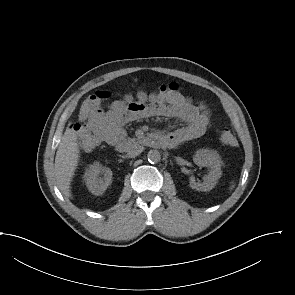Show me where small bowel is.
I'll return each mask as SVG.
<instances>
[{
	"mask_svg": "<svg viewBox=\"0 0 295 295\" xmlns=\"http://www.w3.org/2000/svg\"><path fill=\"white\" fill-rule=\"evenodd\" d=\"M152 116L174 118L184 123L182 128L163 136L170 147L202 136L211 122L210 113L203 103L193 104L187 98L157 92L139 93L137 97L126 95L123 100L113 102L109 110L98 109L88 119L86 128L101 132L99 142L115 144L123 139L125 124ZM79 137L83 148L93 147L88 146L84 136L79 134Z\"/></svg>",
	"mask_w": 295,
	"mask_h": 295,
	"instance_id": "1",
	"label": "small bowel"
}]
</instances>
